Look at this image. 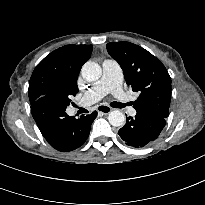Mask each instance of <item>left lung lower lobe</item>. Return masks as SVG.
<instances>
[{"mask_svg": "<svg viewBox=\"0 0 205 205\" xmlns=\"http://www.w3.org/2000/svg\"><path fill=\"white\" fill-rule=\"evenodd\" d=\"M166 118L146 112H138L127 117V122L118 134L129 146L140 148L155 140L164 128Z\"/></svg>", "mask_w": 205, "mask_h": 205, "instance_id": "0a47b994", "label": "left lung lower lobe"}]
</instances>
